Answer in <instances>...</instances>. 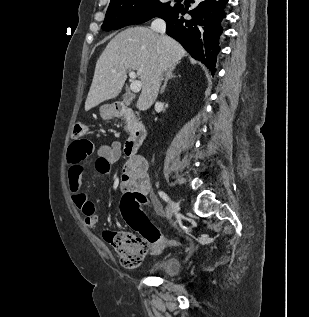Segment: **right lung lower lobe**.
<instances>
[{"mask_svg":"<svg viewBox=\"0 0 309 317\" xmlns=\"http://www.w3.org/2000/svg\"><path fill=\"white\" fill-rule=\"evenodd\" d=\"M227 2L228 0H196V7L190 11L183 5L176 4L156 17L166 21V33L169 36L176 39L193 58L215 72ZM185 13L190 16L184 18Z\"/></svg>","mask_w":309,"mask_h":317,"instance_id":"right-lung-lower-lobe-1","label":"right lung lower lobe"}]
</instances>
